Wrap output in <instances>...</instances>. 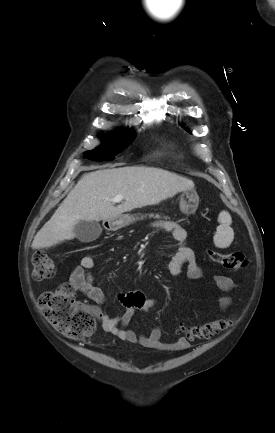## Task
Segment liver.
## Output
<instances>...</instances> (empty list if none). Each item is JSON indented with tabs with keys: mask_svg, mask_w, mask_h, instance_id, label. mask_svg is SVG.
<instances>
[{
	"mask_svg": "<svg viewBox=\"0 0 275 433\" xmlns=\"http://www.w3.org/2000/svg\"><path fill=\"white\" fill-rule=\"evenodd\" d=\"M193 188L192 180L154 167L126 166L90 172L78 181L51 219L37 232L32 248H49L73 239L74 227L80 221L116 218ZM117 195H122L124 202L114 206L110 199Z\"/></svg>",
	"mask_w": 275,
	"mask_h": 433,
	"instance_id": "6515ba94",
	"label": "liver"
}]
</instances>
